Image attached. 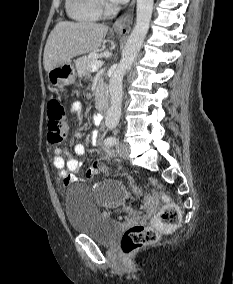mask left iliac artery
Listing matches in <instances>:
<instances>
[{
	"label": "left iliac artery",
	"instance_id": "44dca946",
	"mask_svg": "<svg viewBox=\"0 0 233 284\" xmlns=\"http://www.w3.org/2000/svg\"><path fill=\"white\" fill-rule=\"evenodd\" d=\"M118 142V140L115 137H108L104 140V143L107 147H111L115 145Z\"/></svg>",
	"mask_w": 233,
	"mask_h": 284
}]
</instances>
